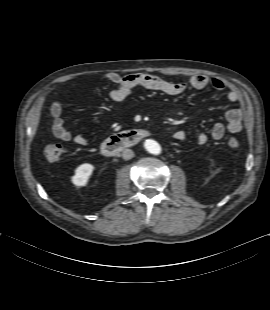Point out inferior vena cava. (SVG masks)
<instances>
[{
    "instance_id": "1",
    "label": "inferior vena cava",
    "mask_w": 270,
    "mask_h": 310,
    "mask_svg": "<svg viewBox=\"0 0 270 310\" xmlns=\"http://www.w3.org/2000/svg\"><path fill=\"white\" fill-rule=\"evenodd\" d=\"M122 157L124 160H129L134 157V152L131 149H124L122 152Z\"/></svg>"
}]
</instances>
